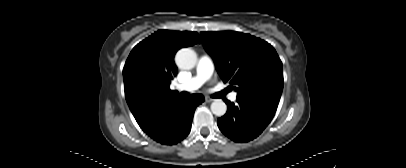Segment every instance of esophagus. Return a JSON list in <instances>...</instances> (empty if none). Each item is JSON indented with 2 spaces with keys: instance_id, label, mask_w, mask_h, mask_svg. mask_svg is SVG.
I'll return each mask as SVG.
<instances>
[{
  "instance_id": "34e87169",
  "label": "esophagus",
  "mask_w": 406,
  "mask_h": 168,
  "mask_svg": "<svg viewBox=\"0 0 406 168\" xmlns=\"http://www.w3.org/2000/svg\"><path fill=\"white\" fill-rule=\"evenodd\" d=\"M205 101L208 102V103H210V102L214 101V99H213V98H210V97H205Z\"/></svg>"
}]
</instances>
